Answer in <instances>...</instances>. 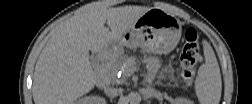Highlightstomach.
<instances>
[{"instance_id": "1", "label": "stomach", "mask_w": 252, "mask_h": 104, "mask_svg": "<svg viewBox=\"0 0 252 104\" xmlns=\"http://www.w3.org/2000/svg\"><path fill=\"white\" fill-rule=\"evenodd\" d=\"M181 33V22L175 16L152 8L123 34L121 42L113 49L118 50L121 46L130 49L140 47L146 52L167 54L175 49Z\"/></svg>"}]
</instances>
